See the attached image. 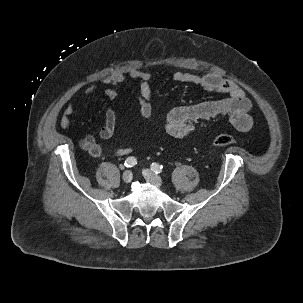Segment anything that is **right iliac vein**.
<instances>
[{
    "mask_svg": "<svg viewBox=\"0 0 303 303\" xmlns=\"http://www.w3.org/2000/svg\"><path fill=\"white\" fill-rule=\"evenodd\" d=\"M133 175L131 171H125L122 175V179L125 183H130L132 181Z\"/></svg>",
    "mask_w": 303,
    "mask_h": 303,
    "instance_id": "right-iliac-vein-1",
    "label": "right iliac vein"
}]
</instances>
